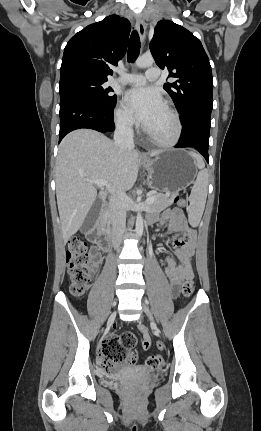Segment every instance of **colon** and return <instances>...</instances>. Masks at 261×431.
Returning a JSON list of instances; mask_svg holds the SVG:
<instances>
[{
  "label": "colon",
  "mask_w": 261,
  "mask_h": 431,
  "mask_svg": "<svg viewBox=\"0 0 261 431\" xmlns=\"http://www.w3.org/2000/svg\"><path fill=\"white\" fill-rule=\"evenodd\" d=\"M175 202L180 207L185 206V201L182 198H177ZM189 241V234H184L180 238L179 244L186 245ZM66 261L70 280V292L75 297H82L88 289L91 270L88 245L82 238L74 236L70 239L66 250ZM194 288L193 278H187L182 285L183 296H191ZM135 344L136 339L130 332H125L121 335H111L104 340L99 349V356L105 372L114 374L121 366L135 363L136 357L133 353ZM158 346L161 352L165 351L164 343H159ZM146 363L151 366V371L158 372L160 366L165 364V359L151 355L147 358Z\"/></svg>",
  "instance_id": "5ec220e1"
}]
</instances>
